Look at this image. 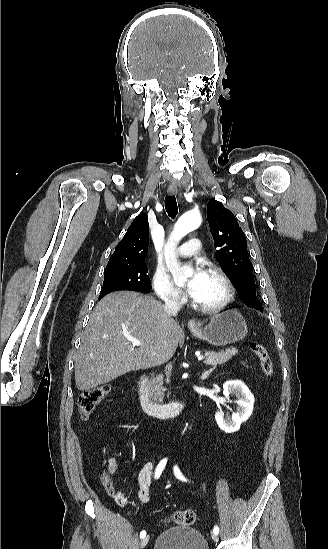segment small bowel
<instances>
[{
  "label": "small bowel",
  "mask_w": 328,
  "mask_h": 549,
  "mask_svg": "<svg viewBox=\"0 0 328 549\" xmlns=\"http://www.w3.org/2000/svg\"><path fill=\"white\" fill-rule=\"evenodd\" d=\"M118 467L119 464L117 459L115 457H110L107 462V475L104 476L110 482L109 486L106 487V491L119 506H134V501L130 500L122 490L116 488L108 477V475L115 474ZM153 477H155L154 466L152 462H148L140 469L137 477L139 484V498L144 503L148 502L150 499V489Z\"/></svg>",
  "instance_id": "obj_1"
}]
</instances>
